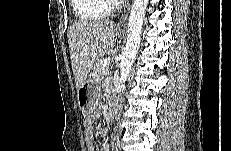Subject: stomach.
Here are the masks:
<instances>
[{"instance_id":"0dacf381","label":"stomach","mask_w":231,"mask_h":151,"mask_svg":"<svg viewBox=\"0 0 231 151\" xmlns=\"http://www.w3.org/2000/svg\"><path fill=\"white\" fill-rule=\"evenodd\" d=\"M116 36L121 32L116 30ZM100 98V86L95 79L89 75L84 83L77 90V100L80 110L84 114H90L96 108Z\"/></svg>"}]
</instances>
